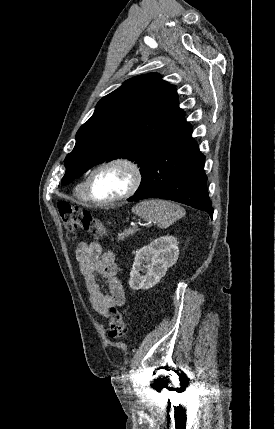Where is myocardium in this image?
Returning a JSON list of instances; mask_svg holds the SVG:
<instances>
[{
  "label": "myocardium",
  "mask_w": 275,
  "mask_h": 429,
  "mask_svg": "<svg viewBox=\"0 0 275 429\" xmlns=\"http://www.w3.org/2000/svg\"><path fill=\"white\" fill-rule=\"evenodd\" d=\"M112 166H121L128 171L130 175L129 185L122 194L114 198L107 199V200H98L93 197L91 192L92 180L97 172H99L104 168H108ZM141 181H142L141 170L134 161L126 157H114L101 162L95 168H93L92 171L88 174L86 179V184H85V195L87 197V200H89L94 204L101 205V206L111 205V204H115L117 202L126 200L132 195H134L135 192L138 190L141 184Z\"/></svg>",
  "instance_id": "1"
}]
</instances>
